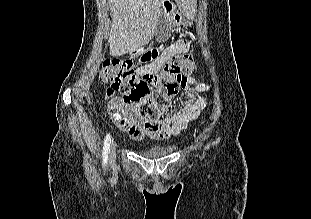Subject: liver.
Listing matches in <instances>:
<instances>
[{
    "label": "liver",
    "instance_id": "liver-1",
    "mask_svg": "<svg viewBox=\"0 0 311 219\" xmlns=\"http://www.w3.org/2000/svg\"><path fill=\"white\" fill-rule=\"evenodd\" d=\"M167 0H109L113 19L110 54L120 56L147 45L157 29L161 6ZM181 12L193 19L196 0H176Z\"/></svg>",
    "mask_w": 311,
    "mask_h": 219
}]
</instances>
